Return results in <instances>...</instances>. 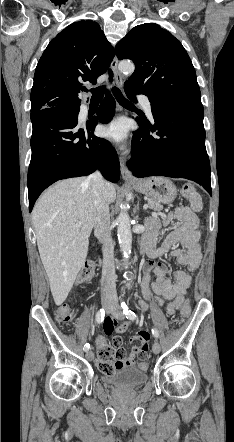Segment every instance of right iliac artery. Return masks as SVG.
<instances>
[{
  "label": "right iliac artery",
  "instance_id": "obj_1",
  "mask_svg": "<svg viewBox=\"0 0 234 442\" xmlns=\"http://www.w3.org/2000/svg\"><path fill=\"white\" fill-rule=\"evenodd\" d=\"M104 316H105V312L104 309H100L97 314H96V322L97 323H101L104 320ZM90 348V345L88 343H86L84 345V350L88 351Z\"/></svg>",
  "mask_w": 234,
  "mask_h": 442
}]
</instances>
